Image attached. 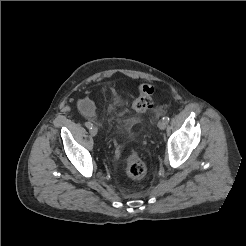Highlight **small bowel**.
I'll list each match as a JSON object with an SVG mask.
<instances>
[{"label": "small bowel", "instance_id": "small-bowel-1", "mask_svg": "<svg viewBox=\"0 0 246 246\" xmlns=\"http://www.w3.org/2000/svg\"><path fill=\"white\" fill-rule=\"evenodd\" d=\"M80 110L87 117H92L94 115L93 105L88 100H84L81 102Z\"/></svg>", "mask_w": 246, "mask_h": 246}]
</instances>
